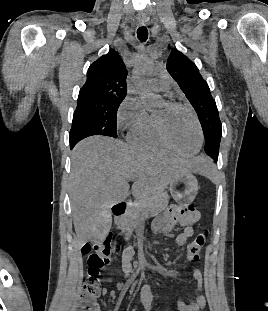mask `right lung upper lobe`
Here are the masks:
<instances>
[{
    "label": "right lung upper lobe",
    "mask_w": 268,
    "mask_h": 311,
    "mask_svg": "<svg viewBox=\"0 0 268 311\" xmlns=\"http://www.w3.org/2000/svg\"><path fill=\"white\" fill-rule=\"evenodd\" d=\"M127 70L114 49L93 62L87 71V81L79 96H97L123 100L127 94Z\"/></svg>",
    "instance_id": "cb5924a9"
}]
</instances>
